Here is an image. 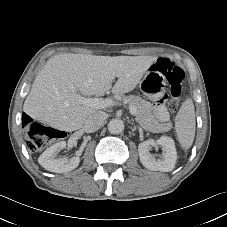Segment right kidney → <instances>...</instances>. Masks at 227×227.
Segmentation results:
<instances>
[{"label": "right kidney", "mask_w": 227, "mask_h": 227, "mask_svg": "<svg viewBox=\"0 0 227 227\" xmlns=\"http://www.w3.org/2000/svg\"><path fill=\"white\" fill-rule=\"evenodd\" d=\"M66 147L65 141H60L47 148L39 157V164L48 171L55 173H65L75 169L80 162L79 156L70 159L55 158L56 155Z\"/></svg>", "instance_id": "obj_1"}]
</instances>
